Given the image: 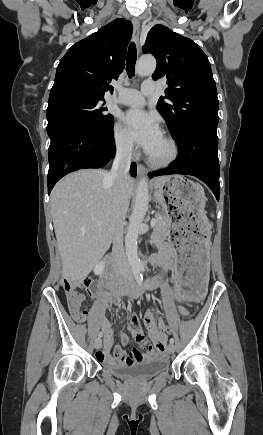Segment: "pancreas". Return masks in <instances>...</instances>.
I'll return each instance as SVG.
<instances>
[{
    "label": "pancreas",
    "instance_id": "pancreas-1",
    "mask_svg": "<svg viewBox=\"0 0 263 435\" xmlns=\"http://www.w3.org/2000/svg\"><path fill=\"white\" fill-rule=\"evenodd\" d=\"M156 219L157 222L151 235V239L155 245H159L169 234L171 218L169 215H165L162 213Z\"/></svg>",
    "mask_w": 263,
    "mask_h": 435
}]
</instances>
